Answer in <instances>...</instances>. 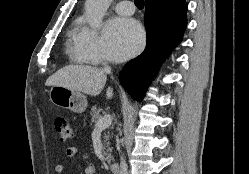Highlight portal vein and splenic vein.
Segmentation results:
<instances>
[{
  "instance_id": "1",
  "label": "portal vein and splenic vein",
  "mask_w": 249,
  "mask_h": 174,
  "mask_svg": "<svg viewBox=\"0 0 249 174\" xmlns=\"http://www.w3.org/2000/svg\"><path fill=\"white\" fill-rule=\"evenodd\" d=\"M111 123H112L111 115L106 114L96 122L95 130H99V131L105 130L111 125Z\"/></svg>"
}]
</instances>
